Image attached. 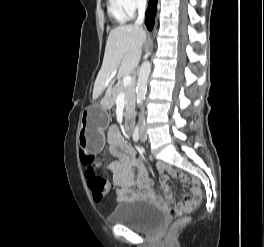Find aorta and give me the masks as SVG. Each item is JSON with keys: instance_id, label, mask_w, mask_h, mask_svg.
Returning <instances> with one entry per match:
<instances>
[{"instance_id": "762f6f07", "label": "aorta", "mask_w": 264, "mask_h": 247, "mask_svg": "<svg viewBox=\"0 0 264 247\" xmlns=\"http://www.w3.org/2000/svg\"><path fill=\"white\" fill-rule=\"evenodd\" d=\"M148 55H150V52H148ZM150 71L151 63L149 61L143 62L139 71L136 86V99L138 106H141L143 104V100L145 99Z\"/></svg>"}]
</instances>
